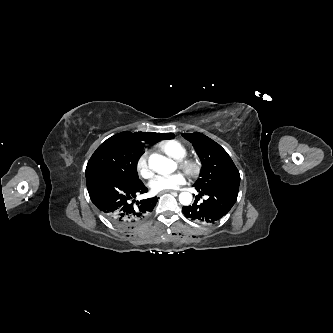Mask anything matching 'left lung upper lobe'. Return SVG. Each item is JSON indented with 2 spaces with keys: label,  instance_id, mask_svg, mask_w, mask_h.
<instances>
[{
  "label": "left lung upper lobe",
  "instance_id": "1",
  "mask_svg": "<svg viewBox=\"0 0 333 333\" xmlns=\"http://www.w3.org/2000/svg\"><path fill=\"white\" fill-rule=\"evenodd\" d=\"M182 136L192 143L202 163L200 178L193 185L197 191L239 187V171L219 144L199 132L183 133ZM227 196H223L217 202L227 203Z\"/></svg>",
  "mask_w": 333,
  "mask_h": 333
}]
</instances>
